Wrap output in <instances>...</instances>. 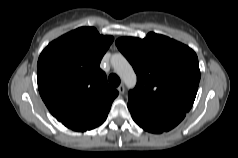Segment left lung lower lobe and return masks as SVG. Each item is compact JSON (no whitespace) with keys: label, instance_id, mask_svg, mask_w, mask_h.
I'll return each instance as SVG.
<instances>
[{"label":"left lung lower lobe","instance_id":"0a47b994","mask_svg":"<svg viewBox=\"0 0 238 158\" xmlns=\"http://www.w3.org/2000/svg\"><path fill=\"white\" fill-rule=\"evenodd\" d=\"M128 108L133 120L144 130L152 133L169 131L179 124L187 111L171 110L164 112H147L128 102Z\"/></svg>","mask_w":238,"mask_h":158}]
</instances>
